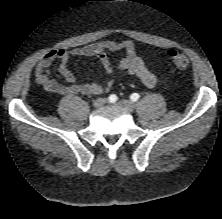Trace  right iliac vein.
Segmentation results:
<instances>
[{"mask_svg": "<svg viewBox=\"0 0 222 219\" xmlns=\"http://www.w3.org/2000/svg\"><path fill=\"white\" fill-rule=\"evenodd\" d=\"M106 103V99L98 98L93 102V105L97 108L102 107Z\"/></svg>", "mask_w": 222, "mask_h": 219, "instance_id": "right-iliac-vein-1", "label": "right iliac vein"}]
</instances>
